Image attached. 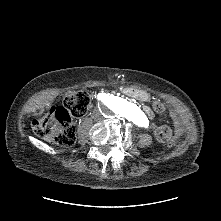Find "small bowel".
I'll return each instance as SVG.
<instances>
[{
  "label": "small bowel",
  "instance_id": "small-bowel-1",
  "mask_svg": "<svg viewBox=\"0 0 221 221\" xmlns=\"http://www.w3.org/2000/svg\"><path fill=\"white\" fill-rule=\"evenodd\" d=\"M101 95H103V94H101ZM145 112H146L148 118H150V117H151L150 111L146 108V109H145ZM175 117H176V126H177V129H178V131H180L181 125H182V124H181V121L177 118L176 115H175Z\"/></svg>",
  "mask_w": 221,
  "mask_h": 221
}]
</instances>
